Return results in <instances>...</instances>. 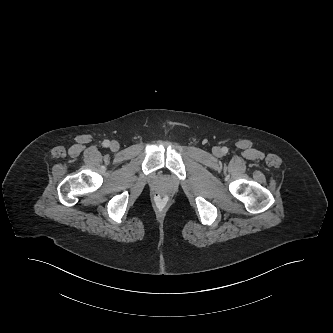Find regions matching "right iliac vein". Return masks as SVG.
<instances>
[{
    "instance_id": "obj_1",
    "label": "right iliac vein",
    "mask_w": 333,
    "mask_h": 333,
    "mask_svg": "<svg viewBox=\"0 0 333 333\" xmlns=\"http://www.w3.org/2000/svg\"><path fill=\"white\" fill-rule=\"evenodd\" d=\"M119 148H120V145H119V143H118L117 141H112V142L110 143V149H111L112 151L116 152V151L119 150Z\"/></svg>"
}]
</instances>
